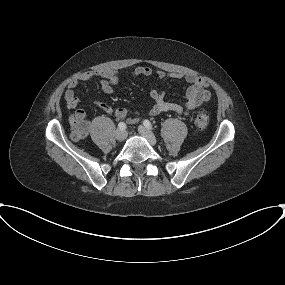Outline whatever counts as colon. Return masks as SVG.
<instances>
[{"mask_svg":"<svg viewBox=\"0 0 285 285\" xmlns=\"http://www.w3.org/2000/svg\"><path fill=\"white\" fill-rule=\"evenodd\" d=\"M209 122V116L205 109L198 110L195 125L199 131H203L207 128ZM89 132V124L83 119L75 120L72 125L71 137L73 140H81L87 136Z\"/></svg>","mask_w":285,"mask_h":285,"instance_id":"5ec220e1","label":"colon"}]
</instances>
